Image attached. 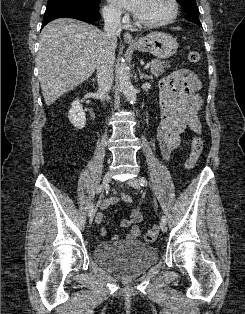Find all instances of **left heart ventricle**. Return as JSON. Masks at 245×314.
I'll return each mask as SVG.
<instances>
[{"instance_id": "b2bd125f", "label": "left heart ventricle", "mask_w": 245, "mask_h": 314, "mask_svg": "<svg viewBox=\"0 0 245 314\" xmlns=\"http://www.w3.org/2000/svg\"><path fill=\"white\" fill-rule=\"evenodd\" d=\"M171 10L170 0H143L136 16L143 21H158L167 17Z\"/></svg>"}]
</instances>
